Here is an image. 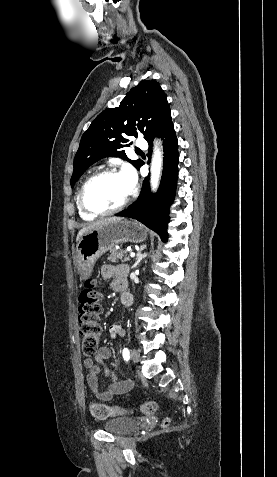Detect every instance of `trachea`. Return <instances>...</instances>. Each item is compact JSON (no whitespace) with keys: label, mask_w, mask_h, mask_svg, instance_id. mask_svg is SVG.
I'll return each mask as SVG.
<instances>
[{"label":"trachea","mask_w":277,"mask_h":477,"mask_svg":"<svg viewBox=\"0 0 277 477\" xmlns=\"http://www.w3.org/2000/svg\"><path fill=\"white\" fill-rule=\"evenodd\" d=\"M136 152H141L140 150H136Z\"/></svg>","instance_id":"1"}]
</instances>
